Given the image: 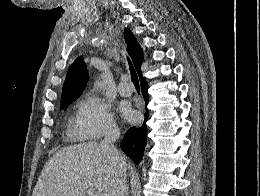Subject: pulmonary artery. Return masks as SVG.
Here are the masks:
<instances>
[{
    "instance_id": "e3ab8cb5",
    "label": "pulmonary artery",
    "mask_w": 260,
    "mask_h": 196,
    "mask_svg": "<svg viewBox=\"0 0 260 196\" xmlns=\"http://www.w3.org/2000/svg\"><path fill=\"white\" fill-rule=\"evenodd\" d=\"M118 91L123 96H130L133 93V85H128V81H119Z\"/></svg>"
}]
</instances>
